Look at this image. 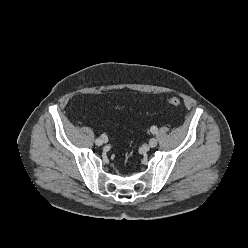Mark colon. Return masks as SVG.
<instances>
[{
    "label": "colon",
    "mask_w": 248,
    "mask_h": 248,
    "mask_svg": "<svg viewBox=\"0 0 248 248\" xmlns=\"http://www.w3.org/2000/svg\"><path fill=\"white\" fill-rule=\"evenodd\" d=\"M168 103L172 106L179 107L181 105V101L177 97H171L168 99Z\"/></svg>",
    "instance_id": "5ec220e1"
}]
</instances>
